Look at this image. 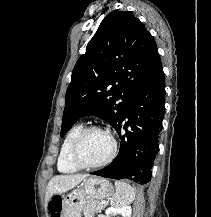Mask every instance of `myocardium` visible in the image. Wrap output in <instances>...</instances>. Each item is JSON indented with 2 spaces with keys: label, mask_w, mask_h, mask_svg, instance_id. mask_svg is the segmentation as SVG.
I'll return each instance as SVG.
<instances>
[{
  "label": "myocardium",
  "mask_w": 211,
  "mask_h": 217,
  "mask_svg": "<svg viewBox=\"0 0 211 217\" xmlns=\"http://www.w3.org/2000/svg\"><path fill=\"white\" fill-rule=\"evenodd\" d=\"M92 131H102L107 133L112 142V149L110 154L104 160L97 163H87L82 159L81 156V149H82L83 142L86 136ZM116 154H117V142L114 136L112 135V133L101 126H96V125H91L83 128L82 131L77 136V138L75 139L71 150V158L73 163L81 169H94V168L103 167L109 164L110 162H112Z\"/></svg>",
  "instance_id": "1"
}]
</instances>
